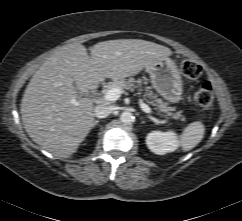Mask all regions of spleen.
<instances>
[{
    "instance_id": "1",
    "label": "spleen",
    "mask_w": 242,
    "mask_h": 221,
    "mask_svg": "<svg viewBox=\"0 0 242 221\" xmlns=\"http://www.w3.org/2000/svg\"><path fill=\"white\" fill-rule=\"evenodd\" d=\"M205 127L200 121L189 124L181 135L180 144L184 151H189L197 146L204 137Z\"/></svg>"
}]
</instances>
